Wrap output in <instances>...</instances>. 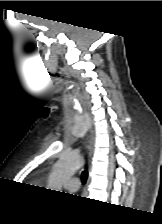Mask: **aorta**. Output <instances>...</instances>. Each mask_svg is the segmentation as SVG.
Returning <instances> with one entry per match:
<instances>
[{"label": "aorta", "instance_id": "obj_1", "mask_svg": "<svg viewBox=\"0 0 162 224\" xmlns=\"http://www.w3.org/2000/svg\"><path fill=\"white\" fill-rule=\"evenodd\" d=\"M83 158L78 154L63 155L53 168L49 181L51 190H60L62 183L74 175V173L82 166Z\"/></svg>", "mask_w": 162, "mask_h": 224}]
</instances>
